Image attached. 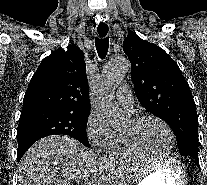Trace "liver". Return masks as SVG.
Listing matches in <instances>:
<instances>
[{"label":"liver","instance_id":"liver-1","mask_svg":"<svg viewBox=\"0 0 207 185\" xmlns=\"http://www.w3.org/2000/svg\"><path fill=\"white\" fill-rule=\"evenodd\" d=\"M94 155L67 135L36 141L19 163V185H71L88 175L96 183Z\"/></svg>","mask_w":207,"mask_h":185}]
</instances>
